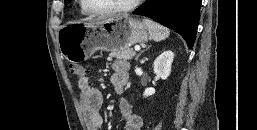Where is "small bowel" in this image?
<instances>
[{
    "instance_id": "c3829d8e",
    "label": "small bowel",
    "mask_w": 257,
    "mask_h": 130,
    "mask_svg": "<svg viewBox=\"0 0 257 130\" xmlns=\"http://www.w3.org/2000/svg\"><path fill=\"white\" fill-rule=\"evenodd\" d=\"M129 64L126 61L119 60L113 63V74L111 83L117 94H122L124 87L128 82ZM78 88L80 90V106L89 130H102L103 118L101 115V107L103 104V96L101 92L94 88L88 77L78 80ZM119 110L124 120V130H141L142 119L133 112L131 105L125 99L119 101Z\"/></svg>"
}]
</instances>
